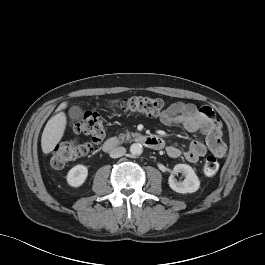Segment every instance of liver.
<instances>
[{
	"instance_id": "liver-1",
	"label": "liver",
	"mask_w": 265,
	"mask_h": 265,
	"mask_svg": "<svg viewBox=\"0 0 265 265\" xmlns=\"http://www.w3.org/2000/svg\"><path fill=\"white\" fill-rule=\"evenodd\" d=\"M117 100L112 101V103ZM67 107V102L61 103L57 114L53 115L47 122L41 137V148L43 153L48 154L54 150L60 142L66 129L67 119L64 112L61 110Z\"/></svg>"
}]
</instances>
